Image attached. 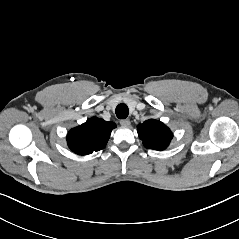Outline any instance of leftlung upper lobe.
Segmentation results:
<instances>
[{
    "mask_svg": "<svg viewBox=\"0 0 239 239\" xmlns=\"http://www.w3.org/2000/svg\"><path fill=\"white\" fill-rule=\"evenodd\" d=\"M137 132L143 145L154 150H164L168 147L173 134L170 129L160 121L149 119L137 126Z\"/></svg>",
    "mask_w": 239,
    "mask_h": 239,
    "instance_id": "5c2ea615",
    "label": "left lung upper lobe"
}]
</instances>
